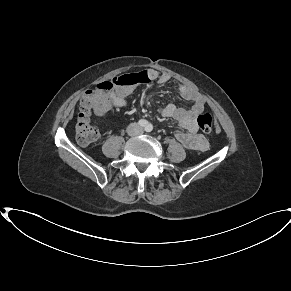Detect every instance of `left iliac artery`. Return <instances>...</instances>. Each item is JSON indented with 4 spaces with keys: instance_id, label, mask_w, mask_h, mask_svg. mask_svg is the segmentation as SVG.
<instances>
[{
    "instance_id": "44dca946",
    "label": "left iliac artery",
    "mask_w": 291,
    "mask_h": 291,
    "mask_svg": "<svg viewBox=\"0 0 291 291\" xmlns=\"http://www.w3.org/2000/svg\"><path fill=\"white\" fill-rule=\"evenodd\" d=\"M152 130H153V126L151 124H147V126L145 127V131L151 132Z\"/></svg>"
}]
</instances>
